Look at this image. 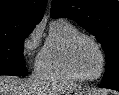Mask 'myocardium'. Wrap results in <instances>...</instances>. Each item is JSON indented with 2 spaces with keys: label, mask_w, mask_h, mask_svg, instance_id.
<instances>
[{
  "label": "myocardium",
  "mask_w": 119,
  "mask_h": 95,
  "mask_svg": "<svg viewBox=\"0 0 119 95\" xmlns=\"http://www.w3.org/2000/svg\"><path fill=\"white\" fill-rule=\"evenodd\" d=\"M82 39H87L89 41H91L92 43L95 44V46L97 47L100 56H101V67H100V71L96 76L93 77H88V76H84L82 75L76 68L75 62H74V52H75V48L78 44V42ZM66 63L68 68L70 69V71L79 79V80H83V81H94L99 79L105 70L106 67V55L104 52V49L102 47V45L100 44V42L94 38L91 35L88 34H84V33H79L77 35H75L68 43L67 45V49H66Z\"/></svg>",
  "instance_id": "1"
}]
</instances>
